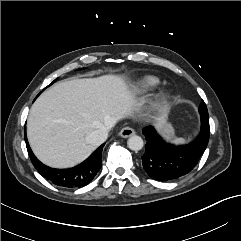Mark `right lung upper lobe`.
Listing matches in <instances>:
<instances>
[{
  "label": "right lung upper lobe",
  "instance_id": "cb5924a9",
  "mask_svg": "<svg viewBox=\"0 0 241 241\" xmlns=\"http://www.w3.org/2000/svg\"><path fill=\"white\" fill-rule=\"evenodd\" d=\"M48 180H50V179H48ZM54 184H56V185H58L57 183H55V182H53Z\"/></svg>",
  "mask_w": 241,
  "mask_h": 241
}]
</instances>
